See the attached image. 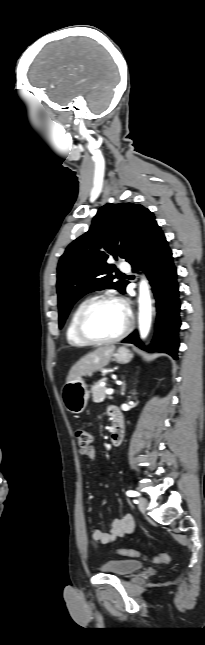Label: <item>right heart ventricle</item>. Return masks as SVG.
Returning <instances> with one entry per match:
<instances>
[{
	"mask_svg": "<svg viewBox=\"0 0 205 645\" xmlns=\"http://www.w3.org/2000/svg\"><path fill=\"white\" fill-rule=\"evenodd\" d=\"M85 303L86 301H82L76 305L67 323L66 340L69 345L74 347H83L88 345V343H86L84 340L80 338L76 329L78 314Z\"/></svg>",
	"mask_w": 205,
	"mask_h": 645,
	"instance_id": "1",
	"label": "right heart ventricle"
}]
</instances>
